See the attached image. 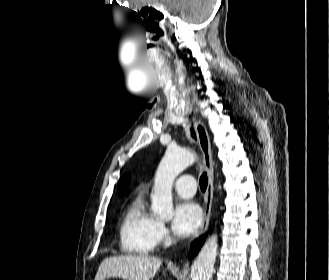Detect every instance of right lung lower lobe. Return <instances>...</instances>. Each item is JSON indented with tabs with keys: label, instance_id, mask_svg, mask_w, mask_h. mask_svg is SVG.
I'll return each mask as SVG.
<instances>
[{
	"label": "right lung lower lobe",
	"instance_id": "obj_1",
	"mask_svg": "<svg viewBox=\"0 0 329 280\" xmlns=\"http://www.w3.org/2000/svg\"><path fill=\"white\" fill-rule=\"evenodd\" d=\"M203 243H204V237H201L192 243L190 258H192L194 255L198 253Z\"/></svg>",
	"mask_w": 329,
	"mask_h": 280
}]
</instances>
